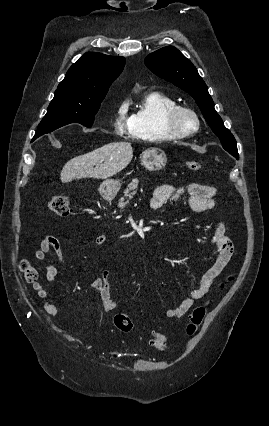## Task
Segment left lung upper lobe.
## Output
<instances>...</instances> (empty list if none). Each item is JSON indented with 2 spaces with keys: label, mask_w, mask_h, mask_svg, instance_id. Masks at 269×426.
I'll return each instance as SVG.
<instances>
[{
  "label": "left lung upper lobe",
  "mask_w": 269,
  "mask_h": 426,
  "mask_svg": "<svg viewBox=\"0 0 269 426\" xmlns=\"http://www.w3.org/2000/svg\"><path fill=\"white\" fill-rule=\"evenodd\" d=\"M145 64L157 76L173 83L194 98L223 148L238 159L236 140L215 111L208 88L192 62L178 49L168 46L149 54L145 58Z\"/></svg>",
  "instance_id": "5c2ea615"
}]
</instances>
